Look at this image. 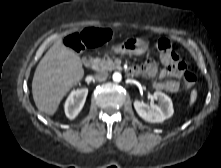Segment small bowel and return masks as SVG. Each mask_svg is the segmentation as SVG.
I'll list each match as a JSON object with an SVG mask.
<instances>
[{
    "label": "small bowel",
    "instance_id": "small-bowel-1",
    "mask_svg": "<svg viewBox=\"0 0 221 168\" xmlns=\"http://www.w3.org/2000/svg\"><path fill=\"white\" fill-rule=\"evenodd\" d=\"M161 60L165 68L159 73L158 78L153 82V87L157 90L176 92L179 90L181 82L188 78V69L179 55L172 51L168 55H161ZM137 74H143L149 78L158 75V67L154 60L147 59L142 66L133 67Z\"/></svg>",
    "mask_w": 221,
    "mask_h": 168
}]
</instances>
